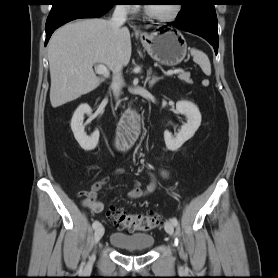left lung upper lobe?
I'll return each mask as SVG.
<instances>
[{
	"mask_svg": "<svg viewBox=\"0 0 278 278\" xmlns=\"http://www.w3.org/2000/svg\"><path fill=\"white\" fill-rule=\"evenodd\" d=\"M198 1H204L205 5L209 6L211 9L215 10L214 8V0H179L180 5H182V9L180 13H185L187 11L192 10L194 7L198 5Z\"/></svg>",
	"mask_w": 278,
	"mask_h": 278,
	"instance_id": "obj_1",
	"label": "left lung upper lobe"
}]
</instances>
